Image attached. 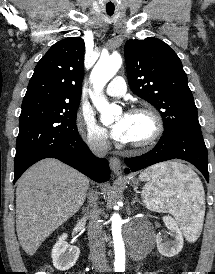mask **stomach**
<instances>
[{"mask_svg":"<svg viewBox=\"0 0 215 274\" xmlns=\"http://www.w3.org/2000/svg\"><path fill=\"white\" fill-rule=\"evenodd\" d=\"M171 163H173V162H168L167 164L168 165H170ZM132 184L134 185V186H137L138 184H139V181H138V179H132Z\"/></svg>","mask_w":215,"mask_h":274,"instance_id":"0dacf381","label":"stomach"}]
</instances>
